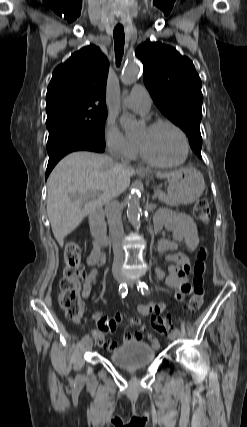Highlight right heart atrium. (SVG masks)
I'll use <instances>...</instances> for the list:
<instances>
[{"label": "right heart atrium", "mask_w": 247, "mask_h": 427, "mask_svg": "<svg viewBox=\"0 0 247 427\" xmlns=\"http://www.w3.org/2000/svg\"><path fill=\"white\" fill-rule=\"evenodd\" d=\"M103 137L108 152L114 157L128 160L136 154V144L130 141L113 121H106Z\"/></svg>", "instance_id": "obj_1"}]
</instances>
